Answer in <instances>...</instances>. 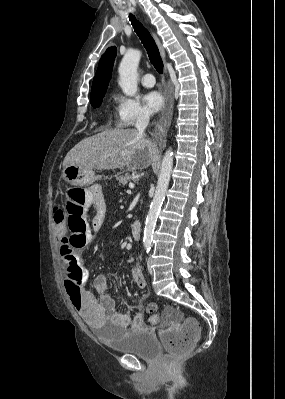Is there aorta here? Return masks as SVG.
Listing matches in <instances>:
<instances>
[{"label": "aorta", "instance_id": "aorta-1", "mask_svg": "<svg viewBox=\"0 0 285 399\" xmlns=\"http://www.w3.org/2000/svg\"><path fill=\"white\" fill-rule=\"evenodd\" d=\"M140 59L141 52L139 50L130 49L125 53L118 68V84L127 96H134L137 92V69ZM172 167L173 152L172 149L169 148L161 163L157 187L145 222L143 237V245L145 248L151 247L157 217L169 186Z\"/></svg>", "mask_w": 285, "mask_h": 399}]
</instances>
